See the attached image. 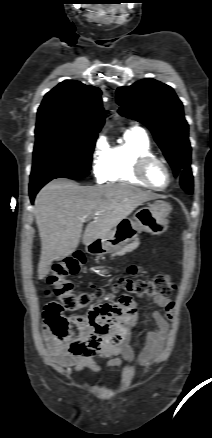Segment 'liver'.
Here are the masks:
<instances>
[{
    "label": "liver",
    "mask_w": 212,
    "mask_h": 438,
    "mask_svg": "<svg viewBox=\"0 0 212 438\" xmlns=\"http://www.w3.org/2000/svg\"><path fill=\"white\" fill-rule=\"evenodd\" d=\"M159 197L127 184L92 187L65 179L48 183L35 199L34 213L41 239L38 278L46 277L53 261L76 250L86 217L97 214L82 237L83 244L88 246L105 238L138 206Z\"/></svg>",
    "instance_id": "6515ba94"
}]
</instances>
